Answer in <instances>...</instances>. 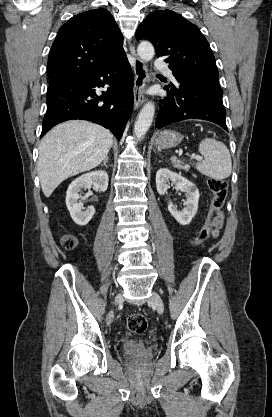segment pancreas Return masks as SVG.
Segmentation results:
<instances>
[{"mask_svg":"<svg viewBox=\"0 0 272 417\" xmlns=\"http://www.w3.org/2000/svg\"><path fill=\"white\" fill-rule=\"evenodd\" d=\"M176 168L183 169V170H189V167L187 165H181L180 163H175Z\"/></svg>","mask_w":272,"mask_h":417,"instance_id":"cf45deb5","label":"pancreas"}]
</instances>
